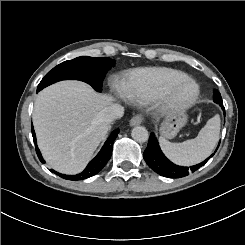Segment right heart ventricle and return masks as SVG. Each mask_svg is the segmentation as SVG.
<instances>
[{
  "mask_svg": "<svg viewBox=\"0 0 245 245\" xmlns=\"http://www.w3.org/2000/svg\"><path fill=\"white\" fill-rule=\"evenodd\" d=\"M185 78H187L185 73L167 68L141 70L135 74L134 81L123 94L131 100H147L166 84Z\"/></svg>",
  "mask_w": 245,
  "mask_h": 245,
  "instance_id": "1",
  "label": "right heart ventricle"
}]
</instances>
